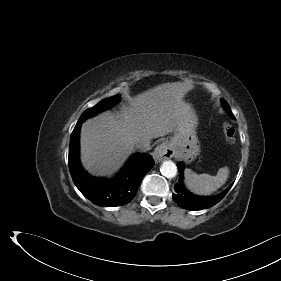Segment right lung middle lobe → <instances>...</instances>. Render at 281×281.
I'll use <instances>...</instances> for the list:
<instances>
[{
	"label": "right lung middle lobe",
	"mask_w": 281,
	"mask_h": 281,
	"mask_svg": "<svg viewBox=\"0 0 281 281\" xmlns=\"http://www.w3.org/2000/svg\"><path fill=\"white\" fill-rule=\"evenodd\" d=\"M119 95H115L111 98L104 99L96 104L94 107L87 109L83 112L78 122H84L87 118L96 115L97 113L109 108L113 104H116L119 100Z\"/></svg>",
	"instance_id": "obj_1"
}]
</instances>
